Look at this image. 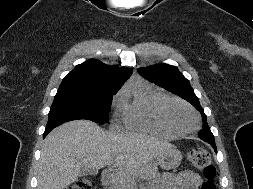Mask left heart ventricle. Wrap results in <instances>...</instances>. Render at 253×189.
<instances>
[{
    "label": "left heart ventricle",
    "mask_w": 253,
    "mask_h": 189,
    "mask_svg": "<svg viewBox=\"0 0 253 189\" xmlns=\"http://www.w3.org/2000/svg\"><path fill=\"white\" fill-rule=\"evenodd\" d=\"M172 122L180 129H190L195 126L193 115L185 108L173 105L168 109Z\"/></svg>",
    "instance_id": "b2bd125f"
}]
</instances>
